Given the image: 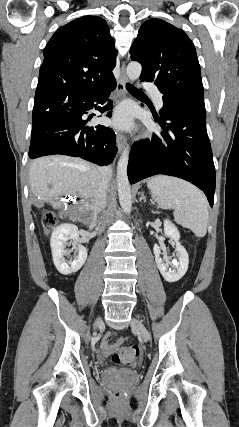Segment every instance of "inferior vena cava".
Segmentation results:
<instances>
[{
    "label": "inferior vena cava",
    "mask_w": 239,
    "mask_h": 427,
    "mask_svg": "<svg viewBox=\"0 0 239 427\" xmlns=\"http://www.w3.org/2000/svg\"><path fill=\"white\" fill-rule=\"evenodd\" d=\"M112 176L111 166H103L99 170V187L95 198V218L101 217L107 205V189Z\"/></svg>",
    "instance_id": "602c4592"
}]
</instances>
